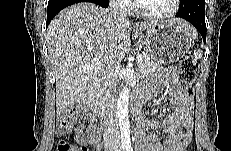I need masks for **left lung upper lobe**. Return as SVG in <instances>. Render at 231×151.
Returning a JSON list of instances; mask_svg holds the SVG:
<instances>
[{"instance_id": "obj_1", "label": "left lung upper lobe", "mask_w": 231, "mask_h": 151, "mask_svg": "<svg viewBox=\"0 0 231 151\" xmlns=\"http://www.w3.org/2000/svg\"><path fill=\"white\" fill-rule=\"evenodd\" d=\"M187 0H181L180 6H182Z\"/></svg>"}]
</instances>
